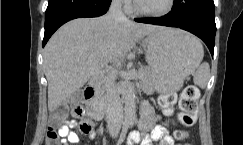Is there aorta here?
I'll return each mask as SVG.
<instances>
[{
    "label": "aorta",
    "mask_w": 243,
    "mask_h": 145,
    "mask_svg": "<svg viewBox=\"0 0 243 145\" xmlns=\"http://www.w3.org/2000/svg\"><path fill=\"white\" fill-rule=\"evenodd\" d=\"M125 119L127 121H134L136 117V99L133 86H129L125 95Z\"/></svg>",
    "instance_id": "aorta-1"
}]
</instances>
